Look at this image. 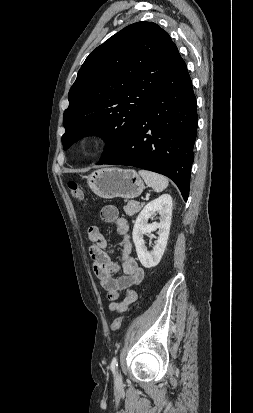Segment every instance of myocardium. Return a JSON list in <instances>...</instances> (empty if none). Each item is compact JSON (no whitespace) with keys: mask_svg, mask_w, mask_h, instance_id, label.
I'll return each instance as SVG.
<instances>
[{"mask_svg":"<svg viewBox=\"0 0 253 413\" xmlns=\"http://www.w3.org/2000/svg\"><path fill=\"white\" fill-rule=\"evenodd\" d=\"M100 142H101V137L98 135H91L85 139V145L88 148H95L100 144Z\"/></svg>","mask_w":253,"mask_h":413,"instance_id":"myocardium-1","label":"myocardium"}]
</instances>
